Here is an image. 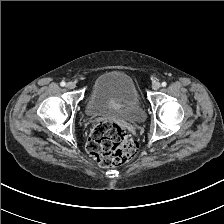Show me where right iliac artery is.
I'll return each instance as SVG.
<instances>
[{
	"label": "right iliac artery",
	"mask_w": 224,
	"mask_h": 224,
	"mask_svg": "<svg viewBox=\"0 0 224 224\" xmlns=\"http://www.w3.org/2000/svg\"><path fill=\"white\" fill-rule=\"evenodd\" d=\"M60 85H61L62 87H64V86L66 85V83H65L64 81H62V82L60 83Z\"/></svg>",
	"instance_id": "82829eb1"
}]
</instances>
